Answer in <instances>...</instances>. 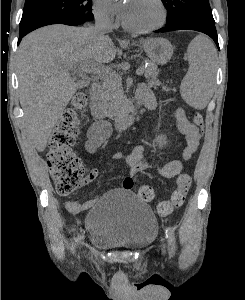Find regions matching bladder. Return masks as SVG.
Returning <instances> with one entry per match:
<instances>
[{"label": "bladder", "mask_w": 245, "mask_h": 300, "mask_svg": "<svg viewBox=\"0 0 245 300\" xmlns=\"http://www.w3.org/2000/svg\"><path fill=\"white\" fill-rule=\"evenodd\" d=\"M85 229L95 246L138 249L155 239L158 221L142 199L130 190L117 189L96 200L86 215Z\"/></svg>", "instance_id": "1"}]
</instances>
